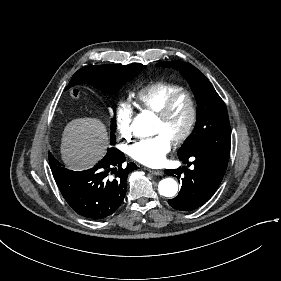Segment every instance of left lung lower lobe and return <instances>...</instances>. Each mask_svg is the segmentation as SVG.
<instances>
[{
    "mask_svg": "<svg viewBox=\"0 0 281 281\" xmlns=\"http://www.w3.org/2000/svg\"><path fill=\"white\" fill-rule=\"evenodd\" d=\"M184 163L193 160V167L187 169H166L165 173L179 179L182 172V187L179 194L168 200L170 206L181 211H192L205 204L215 193L226 172L228 161L210 153L198 151L179 156Z\"/></svg>",
    "mask_w": 281,
    "mask_h": 281,
    "instance_id": "1",
    "label": "left lung lower lobe"
}]
</instances>
